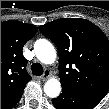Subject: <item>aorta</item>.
Here are the masks:
<instances>
[{"label": "aorta", "mask_w": 109, "mask_h": 109, "mask_svg": "<svg viewBox=\"0 0 109 109\" xmlns=\"http://www.w3.org/2000/svg\"><path fill=\"white\" fill-rule=\"evenodd\" d=\"M37 58L44 64H53L56 60L54 46L46 39H39L34 44ZM44 92L50 98H56L61 92V84L58 79H49L44 85Z\"/></svg>", "instance_id": "obj_1"}]
</instances>
